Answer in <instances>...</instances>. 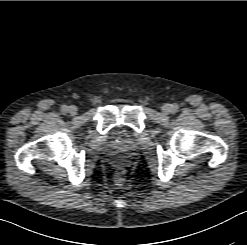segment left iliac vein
Listing matches in <instances>:
<instances>
[{
	"mask_svg": "<svg viewBox=\"0 0 247 245\" xmlns=\"http://www.w3.org/2000/svg\"><path fill=\"white\" fill-rule=\"evenodd\" d=\"M172 106L168 103L164 104L162 107H161V110L163 112V114L165 115H168L172 110Z\"/></svg>",
	"mask_w": 247,
	"mask_h": 245,
	"instance_id": "obj_1",
	"label": "left iliac vein"
}]
</instances>
